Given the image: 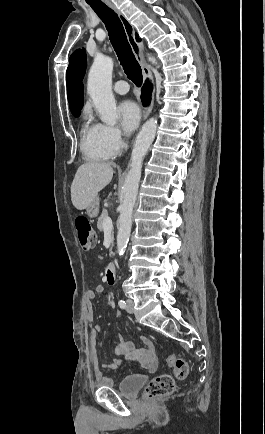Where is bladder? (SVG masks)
Returning a JSON list of instances; mask_svg holds the SVG:
<instances>
[{
    "instance_id": "bladder-1",
    "label": "bladder",
    "mask_w": 265,
    "mask_h": 434,
    "mask_svg": "<svg viewBox=\"0 0 265 434\" xmlns=\"http://www.w3.org/2000/svg\"><path fill=\"white\" fill-rule=\"evenodd\" d=\"M146 378L142 375H129L125 377L118 387V393L125 398H135L143 388Z\"/></svg>"
}]
</instances>
